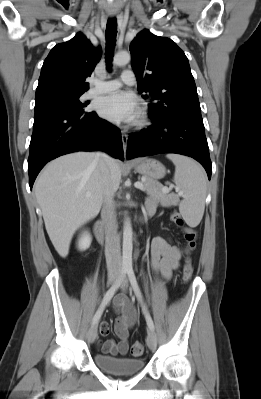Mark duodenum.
<instances>
[{"mask_svg": "<svg viewBox=\"0 0 261 399\" xmlns=\"http://www.w3.org/2000/svg\"><path fill=\"white\" fill-rule=\"evenodd\" d=\"M154 211L152 210H145V213L141 216L140 221H144L148 217L152 215ZM94 233L99 243H103L105 240V225L102 221H99L94 226Z\"/></svg>", "mask_w": 261, "mask_h": 399, "instance_id": "1", "label": "duodenum"}]
</instances>
